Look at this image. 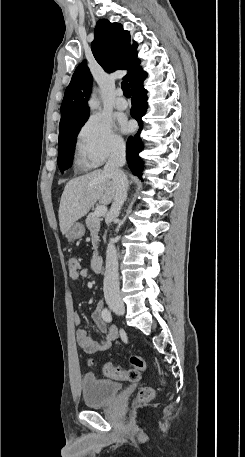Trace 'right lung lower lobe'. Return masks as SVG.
Here are the masks:
<instances>
[{
    "mask_svg": "<svg viewBox=\"0 0 245 457\" xmlns=\"http://www.w3.org/2000/svg\"><path fill=\"white\" fill-rule=\"evenodd\" d=\"M146 75L131 83L132 108L131 116L138 121L140 127L143 126L142 117L147 110V91L143 88V82ZM141 129L134 136H130L126 144V157L128 166L134 175L141 176L144 162L140 159L139 153L143 149V143L140 138Z\"/></svg>",
    "mask_w": 245,
    "mask_h": 457,
    "instance_id": "obj_1",
    "label": "right lung lower lobe"
}]
</instances>
